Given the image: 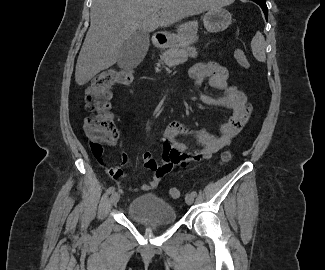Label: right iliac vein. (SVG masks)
Wrapping results in <instances>:
<instances>
[{
    "label": "right iliac vein",
    "instance_id": "right-iliac-vein-1",
    "mask_svg": "<svg viewBox=\"0 0 325 270\" xmlns=\"http://www.w3.org/2000/svg\"><path fill=\"white\" fill-rule=\"evenodd\" d=\"M120 199V194L117 192L112 193L109 198V205H115Z\"/></svg>",
    "mask_w": 325,
    "mask_h": 270
}]
</instances>
